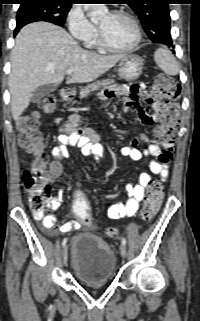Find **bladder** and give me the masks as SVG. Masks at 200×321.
Returning a JSON list of instances; mask_svg holds the SVG:
<instances>
[{
	"label": "bladder",
	"mask_w": 200,
	"mask_h": 321,
	"mask_svg": "<svg viewBox=\"0 0 200 321\" xmlns=\"http://www.w3.org/2000/svg\"><path fill=\"white\" fill-rule=\"evenodd\" d=\"M70 263L74 275L86 284L107 283L116 270V258L110 246L87 232L76 233L71 238Z\"/></svg>",
	"instance_id": "obj_1"
}]
</instances>
